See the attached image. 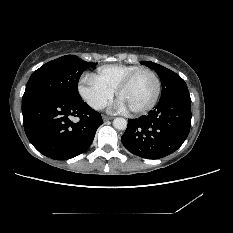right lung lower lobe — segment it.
<instances>
[{
    "label": "right lung lower lobe",
    "instance_id": "obj_1",
    "mask_svg": "<svg viewBox=\"0 0 233 233\" xmlns=\"http://www.w3.org/2000/svg\"><path fill=\"white\" fill-rule=\"evenodd\" d=\"M22 113L29 141L40 153L55 160H67L85 152L103 123L100 113L82 99L54 95L22 102ZM73 116L79 122H72Z\"/></svg>",
    "mask_w": 233,
    "mask_h": 233
}]
</instances>
